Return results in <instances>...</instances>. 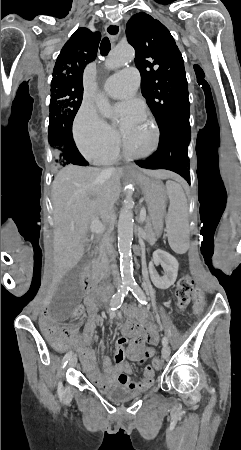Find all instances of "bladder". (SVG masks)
Returning a JSON list of instances; mask_svg holds the SVG:
<instances>
[{
	"label": "bladder",
	"mask_w": 241,
	"mask_h": 450,
	"mask_svg": "<svg viewBox=\"0 0 241 450\" xmlns=\"http://www.w3.org/2000/svg\"><path fill=\"white\" fill-rule=\"evenodd\" d=\"M107 396L115 402H124L133 399L138 395V392L128 388L122 383H117L107 393Z\"/></svg>",
	"instance_id": "obj_1"
}]
</instances>
